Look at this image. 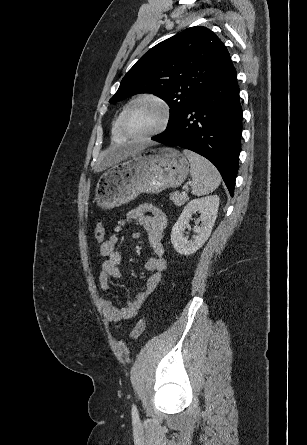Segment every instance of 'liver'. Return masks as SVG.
<instances>
[{"instance_id": "liver-1", "label": "liver", "mask_w": 307, "mask_h": 445, "mask_svg": "<svg viewBox=\"0 0 307 445\" xmlns=\"http://www.w3.org/2000/svg\"><path fill=\"white\" fill-rule=\"evenodd\" d=\"M125 152H118V150H102L98 160L97 164L99 168H96V172H100V170H104V168H107V166H112V164H116V162H119V160H122L124 158Z\"/></svg>"}]
</instances>
